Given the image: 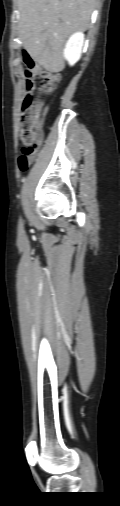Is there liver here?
Segmentation results:
<instances>
[{
	"label": "liver",
	"instance_id": "liver-1",
	"mask_svg": "<svg viewBox=\"0 0 120 506\" xmlns=\"http://www.w3.org/2000/svg\"><path fill=\"white\" fill-rule=\"evenodd\" d=\"M95 4V0H18L24 49L48 71H62L64 43L72 32L90 26Z\"/></svg>",
	"mask_w": 120,
	"mask_h": 506
}]
</instances>
